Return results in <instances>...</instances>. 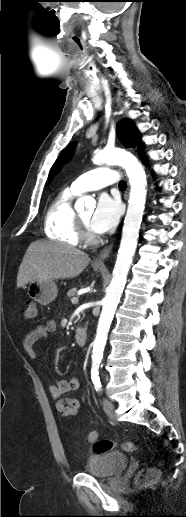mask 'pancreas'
I'll return each instance as SVG.
<instances>
[{"instance_id": "obj_1", "label": "pancreas", "mask_w": 186, "mask_h": 517, "mask_svg": "<svg viewBox=\"0 0 186 517\" xmlns=\"http://www.w3.org/2000/svg\"><path fill=\"white\" fill-rule=\"evenodd\" d=\"M76 292H77V288H75V287H74V288L70 289V290L67 292V296H68V297H70V298H71V297H74V296L76 295Z\"/></svg>"}]
</instances>
